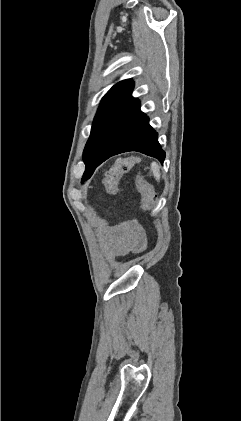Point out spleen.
Wrapping results in <instances>:
<instances>
[{
	"instance_id": "obj_1",
	"label": "spleen",
	"mask_w": 241,
	"mask_h": 421,
	"mask_svg": "<svg viewBox=\"0 0 241 421\" xmlns=\"http://www.w3.org/2000/svg\"><path fill=\"white\" fill-rule=\"evenodd\" d=\"M151 170L157 181H160V167L156 162L151 163Z\"/></svg>"
}]
</instances>
